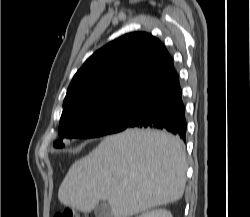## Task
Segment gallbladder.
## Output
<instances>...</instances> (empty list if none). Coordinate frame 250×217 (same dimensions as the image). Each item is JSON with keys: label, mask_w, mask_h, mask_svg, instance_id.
Wrapping results in <instances>:
<instances>
[{"label": "gallbladder", "mask_w": 250, "mask_h": 217, "mask_svg": "<svg viewBox=\"0 0 250 217\" xmlns=\"http://www.w3.org/2000/svg\"><path fill=\"white\" fill-rule=\"evenodd\" d=\"M96 217H113L111 208L108 203L102 202L94 210Z\"/></svg>", "instance_id": "bac80fb5"}]
</instances>
